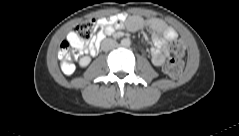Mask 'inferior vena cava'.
I'll return each instance as SVG.
<instances>
[{
    "instance_id": "602c4592",
    "label": "inferior vena cava",
    "mask_w": 239,
    "mask_h": 136,
    "mask_svg": "<svg viewBox=\"0 0 239 136\" xmlns=\"http://www.w3.org/2000/svg\"><path fill=\"white\" fill-rule=\"evenodd\" d=\"M116 46H117L116 40L110 38L103 40L101 43V49L103 51H109L111 49H114Z\"/></svg>"
}]
</instances>
